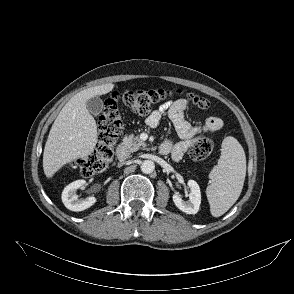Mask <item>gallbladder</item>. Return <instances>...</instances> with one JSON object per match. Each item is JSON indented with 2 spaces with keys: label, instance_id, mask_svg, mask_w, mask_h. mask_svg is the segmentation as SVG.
Segmentation results:
<instances>
[{
  "label": "gallbladder",
  "instance_id": "gallbladder-1",
  "mask_svg": "<svg viewBox=\"0 0 294 294\" xmlns=\"http://www.w3.org/2000/svg\"><path fill=\"white\" fill-rule=\"evenodd\" d=\"M86 107L92 115L97 116L103 109V101L98 96L92 97L87 100Z\"/></svg>",
  "mask_w": 294,
  "mask_h": 294
}]
</instances>
